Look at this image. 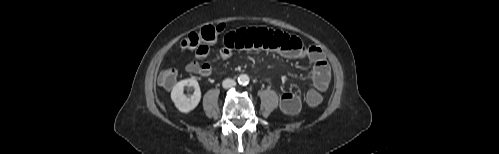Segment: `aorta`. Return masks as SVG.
<instances>
[{
    "mask_svg": "<svg viewBox=\"0 0 499 154\" xmlns=\"http://www.w3.org/2000/svg\"><path fill=\"white\" fill-rule=\"evenodd\" d=\"M249 76L246 75V74H241L239 77H238V82L239 84L241 85H247L249 83Z\"/></svg>",
    "mask_w": 499,
    "mask_h": 154,
    "instance_id": "762f6f07",
    "label": "aorta"
}]
</instances>
